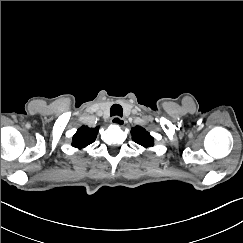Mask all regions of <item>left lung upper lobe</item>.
Masks as SVG:
<instances>
[{
  "mask_svg": "<svg viewBox=\"0 0 243 243\" xmlns=\"http://www.w3.org/2000/svg\"><path fill=\"white\" fill-rule=\"evenodd\" d=\"M132 139L145 148L154 145V139L144 128L136 126L131 129Z\"/></svg>",
  "mask_w": 243,
  "mask_h": 243,
  "instance_id": "obj_1",
  "label": "left lung upper lobe"
}]
</instances>
